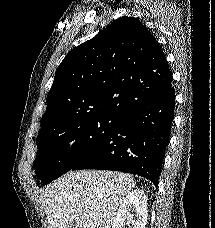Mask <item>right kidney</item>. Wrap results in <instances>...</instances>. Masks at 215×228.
I'll return each mask as SVG.
<instances>
[{"label": "right kidney", "instance_id": "right-kidney-1", "mask_svg": "<svg viewBox=\"0 0 215 228\" xmlns=\"http://www.w3.org/2000/svg\"><path fill=\"white\" fill-rule=\"evenodd\" d=\"M147 200L143 190H131L127 196L121 200L118 212L113 220L112 228H146L147 224ZM135 218V220H133Z\"/></svg>", "mask_w": 215, "mask_h": 228}]
</instances>
